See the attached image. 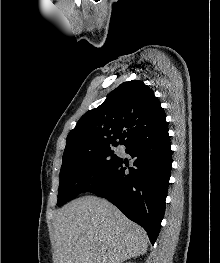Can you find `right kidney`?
<instances>
[{
  "mask_svg": "<svg viewBox=\"0 0 220 263\" xmlns=\"http://www.w3.org/2000/svg\"><path fill=\"white\" fill-rule=\"evenodd\" d=\"M126 263H133V262H130V261H129V262H126Z\"/></svg>",
  "mask_w": 220,
  "mask_h": 263,
  "instance_id": "right-kidney-1",
  "label": "right kidney"
}]
</instances>
